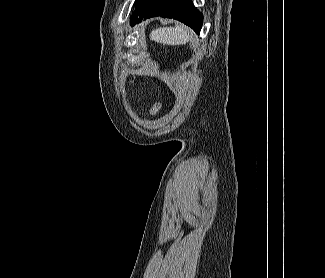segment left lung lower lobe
Here are the masks:
<instances>
[{"mask_svg":"<svg viewBox=\"0 0 325 278\" xmlns=\"http://www.w3.org/2000/svg\"><path fill=\"white\" fill-rule=\"evenodd\" d=\"M135 6L132 26L142 19L161 16L179 20L200 33L203 17L190 0H136Z\"/></svg>","mask_w":325,"mask_h":278,"instance_id":"0a47b994","label":"left lung lower lobe"}]
</instances>
